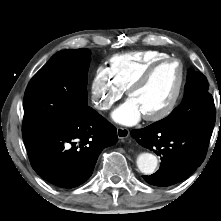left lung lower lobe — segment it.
I'll return each instance as SVG.
<instances>
[{
    "instance_id": "0a47b994",
    "label": "left lung lower lobe",
    "mask_w": 221,
    "mask_h": 221,
    "mask_svg": "<svg viewBox=\"0 0 221 221\" xmlns=\"http://www.w3.org/2000/svg\"><path fill=\"white\" fill-rule=\"evenodd\" d=\"M137 142L161 157L160 169L143 176L154 186L166 187L190 176L203 162L212 130L198 127L162 129L153 123L143 129L132 130Z\"/></svg>"
}]
</instances>
